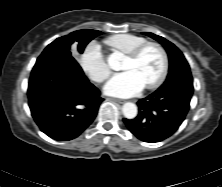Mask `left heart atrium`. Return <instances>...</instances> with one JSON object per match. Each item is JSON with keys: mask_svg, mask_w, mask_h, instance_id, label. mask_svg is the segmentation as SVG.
I'll return each mask as SVG.
<instances>
[{"mask_svg": "<svg viewBox=\"0 0 222 187\" xmlns=\"http://www.w3.org/2000/svg\"><path fill=\"white\" fill-rule=\"evenodd\" d=\"M144 88L137 75L130 70L114 75L104 87L105 93L118 97H130Z\"/></svg>", "mask_w": 222, "mask_h": 187, "instance_id": "1", "label": "left heart atrium"}]
</instances>
